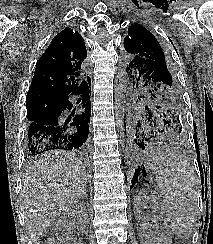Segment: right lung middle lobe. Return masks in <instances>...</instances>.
Wrapping results in <instances>:
<instances>
[{
	"label": "right lung middle lobe",
	"instance_id": "dd1d6c3e",
	"mask_svg": "<svg viewBox=\"0 0 213 244\" xmlns=\"http://www.w3.org/2000/svg\"><path fill=\"white\" fill-rule=\"evenodd\" d=\"M59 99V97H55L53 95H39L27 98L26 100V108H27V118L31 121L34 117L38 115V113L45 107L46 104Z\"/></svg>",
	"mask_w": 213,
	"mask_h": 244
}]
</instances>
